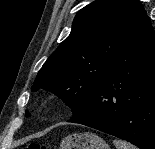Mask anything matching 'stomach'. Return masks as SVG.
Segmentation results:
<instances>
[{"label": "stomach", "instance_id": "1", "mask_svg": "<svg viewBox=\"0 0 155 149\" xmlns=\"http://www.w3.org/2000/svg\"><path fill=\"white\" fill-rule=\"evenodd\" d=\"M60 149H110L109 145L93 133H75L66 136Z\"/></svg>", "mask_w": 155, "mask_h": 149}]
</instances>
